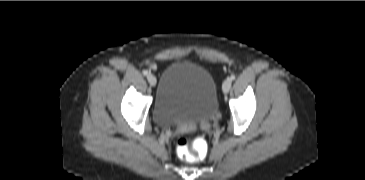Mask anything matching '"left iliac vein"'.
Segmentation results:
<instances>
[{
  "instance_id": "1",
  "label": "left iliac vein",
  "mask_w": 365,
  "mask_h": 180,
  "mask_svg": "<svg viewBox=\"0 0 365 180\" xmlns=\"http://www.w3.org/2000/svg\"><path fill=\"white\" fill-rule=\"evenodd\" d=\"M231 79L230 78H227L224 82H223V85H222V90L224 92V94H227L231 88Z\"/></svg>"
}]
</instances>
